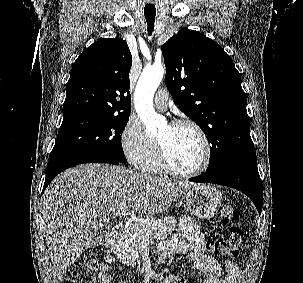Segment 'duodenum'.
<instances>
[{
    "mask_svg": "<svg viewBox=\"0 0 303 283\" xmlns=\"http://www.w3.org/2000/svg\"><path fill=\"white\" fill-rule=\"evenodd\" d=\"M124 232V224L120 223L117 225L109 235V245L112 246L115 242L123 235Z\"/></svg>",
    "mask_w": 303,
    "mask_h": 283,
    "instance_id": "obj_1",
    "label": "duodenum"
}]
</instances>
